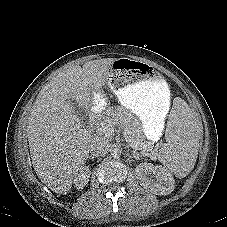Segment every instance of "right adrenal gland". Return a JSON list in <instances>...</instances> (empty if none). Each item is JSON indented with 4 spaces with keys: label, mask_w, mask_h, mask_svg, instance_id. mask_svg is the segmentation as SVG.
<instances>
[{
    "label": "right adrenal gland",
    "mask_w": 227,
    "mask_h": 227,
    "mask_svg": "<svg viewBox=\"0 0 227 227\" xmlns=\"http://www.w3.org/2000/svg\"><path fill=\"white\" fill-rule=\"evenodd\" d=\"M90 159H93L94 157H89Z\"/></svg>",
    "instance_id": "2a0ac1e0"
}]
</instances>
